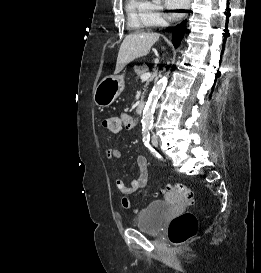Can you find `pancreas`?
I'll return each mask as SVG.
<instances>
[{
    "instance_id": "1",
    "label": "pancreas",
    "mask_w": 261,
    "mask_h": 273,
    "mask_svg": "<svg viewBox=\"0 0 261 273\" xmlns=\"http://www.w3.org/2000/svg\"><path fill=\"white\" fill-rule=\"evenodd\" d=\"M135 73L138 76H141L142 74L146 73L148 71V67L146 65L143 66H137L134 68ZM150 80L147 81V84L149 83Z\"/></svg>"
}]
</instances>
